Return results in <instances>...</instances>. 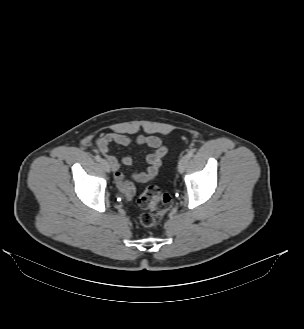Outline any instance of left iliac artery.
Wrapping results in <instances>:
<instances>
[{"instance_id": "44dca946", "label": "left iliac artery", "mask_w": 304, "mask_h": 329, "mask_svg": "<svg viewBox=\"0 0 304 329\" xmlns=\"http://www.w3.org/2000/svg\"><path fill=\"white\" fill-rule=\"evenodd\" d=\"M193 154H194V151H193L192 149H190V150L188 151V153H187V156H188L189 158H191V157L193 156Z\"/></svg>"}]
</instances>
